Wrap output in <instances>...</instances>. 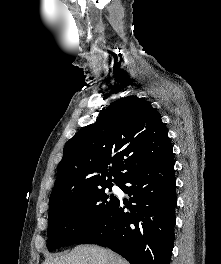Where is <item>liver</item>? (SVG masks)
I'll use <instances>...</instances> for the list:
<instances>
[{"mask_svg": "<svg viewBox=\"0 0 221 264\" xmlns=\"http://www.w3.org/2000/svg\"><path fill=\"white\" fill-rule=\"evenodd\" d=\"M42 264H129L116 253L98 246H77L70 253L50 256Z\"/></svg>", "mask_w": 221, "mask_h": 264, "instance_id": "obj_1", "label": "liver"}]
</instances>
